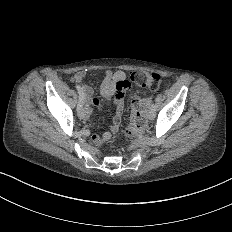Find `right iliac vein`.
<instances>
[{"instance_id":"63e3f726","label":"right iliac vein","mask_w":232,"mask_h":232,"mask_svg":"<svg viewBox=\"0 0 232 232\" xmlns=\"http://www.w3.org/2000/svg\"><path fill=\"white\" fill-rule=\"evenodd\" d=\"M80 107H83V102H80ZM78 118L80 120H83L85 118V112L82 111V108H79Z\"/></svg>"}]
</instances>
